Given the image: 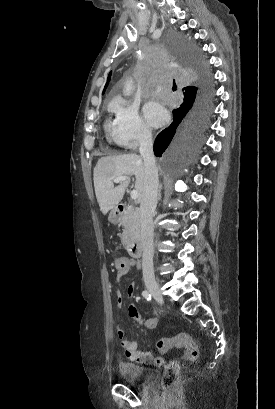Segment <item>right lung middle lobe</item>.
I'll list each match as a JSON object with an SVG mask.
<instances>
[{
  "label": "right lung middle lobe",
  "instance_id": "dd1d6c3e",
  "mask_svg": "<svg viewBox=\"0 0 275 409\" xmlns=\"http://www.w3.org/2000/svg\"><path fill=\"white\" fill-rule=\"evenodd\" d=\"M164 49L177 51L182 73H190L184 79L185 84H197L191 97L173 110V122L158 134L154 143L155 156L165 159L160 162L162 171L170 173L174 169L176 176L184 177L182 165L192 160L202 146L210 114L212 80L204 65V51L195 50L196 44L190 36H171Z\"/></svg>",
  "mask_w": 275,
  "mask_h": 409
}]
</instances>
